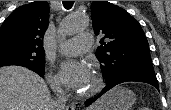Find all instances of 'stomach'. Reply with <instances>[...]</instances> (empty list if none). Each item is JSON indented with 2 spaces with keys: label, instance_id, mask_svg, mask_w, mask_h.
Wrapping results in <instances>:
<instances>
[{
  "label": "stomach",
  "instance_id": "1",
  "mask_svg": "<svg viewBox=\"0 0 171 110\" xmlns=\"http://www.w3.org/2000/svg\"><path fill=\"white\" fill-rule=\"evenodd\" d=\"M135 99V94L131 90L116 87L102 98V104L97 110H130Z\"/></svg>",
  "mask_w": 171,
  "mask_h": 110
}]
</instances>
